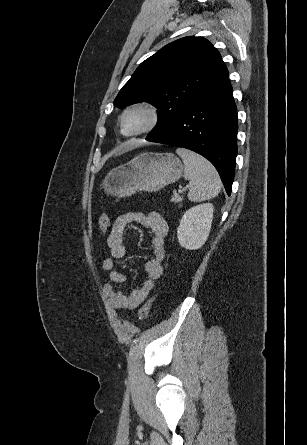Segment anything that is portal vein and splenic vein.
Segmentation results:
<instances>
[{"label": "portal vein and splenic vein", "mask_w": 307, "mask_h": 445, "mask_svg": "<svg viewBox=\"0 0 307 445\" xmlns=\"http://www.w3.org/2000/svg\"><path fill=\"white\" fill-rule=\"evenodd\" d=\"M188 186H191V182H189V184H186V186H184L183 190H186V188H188Z\"/></svg>", "instance_id": "obj_1"}]
</instances>
